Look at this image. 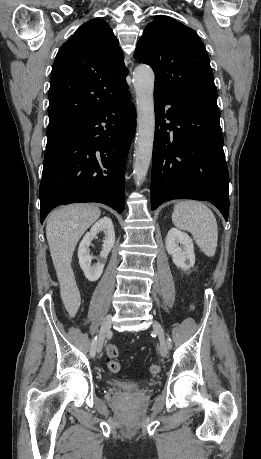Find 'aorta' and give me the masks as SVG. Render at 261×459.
<instances>
[{
    "instance_id": "1",
    "label": "aorta",
    "mask_w": 261,
    "mask_h": 459,
    "mask_svg": "<svg viewBox=\"0 0 261 459\" xmlns=\"http://www.w3.org/2000/svg\"><path fill=\"white\" fill-rule=\"evenodd\" d=\"M154 81L155 75L150 66L139 65L135 68L133 85L137 104V134L133 173L137 186L143 183L152 159L155 132Z\"/></svg>"
}]
</instances>
